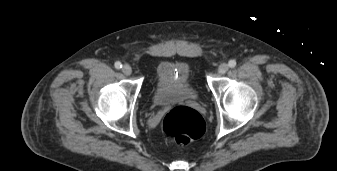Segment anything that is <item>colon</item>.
Segmentation results:
<instances>
[{"label": "colon", "instance_id": "obj_1", "mask_svg": "<svg viewBox=\"0 0 337 171\" xmlns=\"http://www.w3.org/2000/svg\"><path fill=\"white\" fill-rule=\"evenodd\" d=\"M164 133L178 143H188L203 136L205 122L195 110L180 106L171 110L162 123Z\"/></svg>", "mask_w": 337, "mask_h": 171}]
</instances>
